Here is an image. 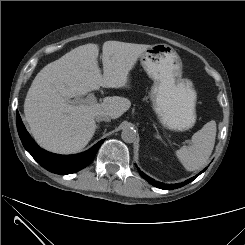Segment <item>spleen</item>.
Wrapping results in <instances>:
<instances>
[{"mask_svg": "<svg viewBox=\"0 0 245 245\" xmlns=\"http://www.w3.org/2000/svg\"><path fill=\"white\" fill-rule=\"evenodd\" d=\"M216 131V122L211 120L193 134L191 145L176 151L177 158L187 171L199 170L207 163L214 148Z\"/></svg>", "mask_w": 245, "mask_h": 245, "instance_id": "obj_1", "label": "spleen"}]
</instances>
